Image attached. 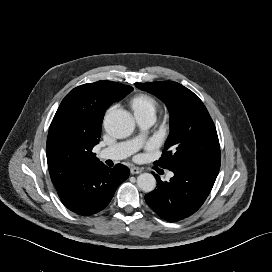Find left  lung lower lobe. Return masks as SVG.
Instances as JSON below:
<instances>
[{
  "mask_svg": "<svg viewBox=\"0 0 272 272\" xmlns=\"http://www.w3.org/2000/svg\"><path fill=\"white\" fill-rule=\"evenodd\" d=\"M169 182L158 181L157 189L145 195L146 203L161 218L176 222L195 213L209 195L219 170L190 167L172 169Z\"/></svg>",
  "mask_w": 272,
  "mask_h": 272,
  "instance_id": "0a47b994",
  "label": "left lung lower lobe"
}]
</instances>
